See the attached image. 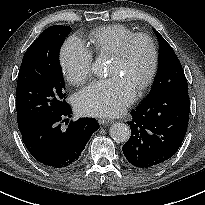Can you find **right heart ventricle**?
<instances>
[{
	"label": "right heart ventricle",
	"mask_w": 205,
	"mask_h": 205,
	"mask_svg": "<svg viewBox=\"0 0 205 205\" xmlns=\"http://www.w3.org/2000/svg\"><path fill=\"white\" fill-rule=\"evenodd\" d=\"M133 34L131 29L119 24L100 27L88 37L91 52L98 57L113 56L123 41Z\"/></svg>",
	"instance_id": "obj_1"
}]
</instances>
